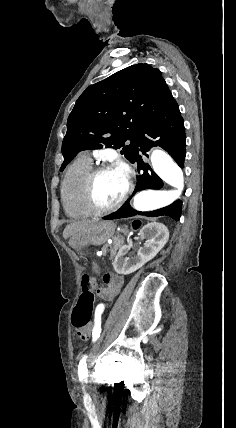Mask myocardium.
I'll return each instance as SVG.
<instances>
[{
    "mask_svg": "<svg viewBox=\"0 0 236 428\" xmlns=\"http://www.w3.org/2000/svg\"><path fill=\"white\" fill-rule=\"evenodd\" d=\"M119 169L126 173L128 186L126 192L120 200L113 204L105 205L98 201L95 194V184L97 179L106 171ZM134 192V173L125 163H103L93 168L87 175L83 185V196L87 206L96 213H106L121 208Z\"/></svg>",
    "mask_w": 236,
    "mask_h": 428,
    "instance_id": "1",
    "label": "myocardium"
}]
</instances>
